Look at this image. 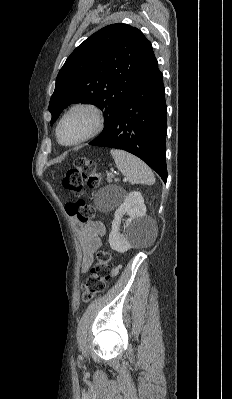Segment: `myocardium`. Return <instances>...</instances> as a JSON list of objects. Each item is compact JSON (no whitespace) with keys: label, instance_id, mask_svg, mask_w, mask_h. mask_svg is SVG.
Listing matches in <instances>:
<instances>
[{"label":"myocardium","instance_id":"1","mask_svg":"<svg viewBox=\"0 0 232 399\" xmlns=\"http://www.w3.org/2000/svg\"><path fill=\"white\" fill-rule=\"evenodd\" d=\"M77 109H85L92 113L93 119H94L93 128L86 136L82 137L81 139L74 141V142H65L61 136V126H62L64 120L67 118V116ZM105 123H106L105 115L99 106H97L95 104H91V103H77V104L72 105L69 109H67L64 112V114L62 115V117L60 118V120L57 124V127H56V136H57L58 141L63 145H66V146L79 145L85 141L92 139L93 137L97 136L98 134H100L103 131V129L105 128Z\"/></svg>","mask_w":232,"mask_h":399}]
</instances>
